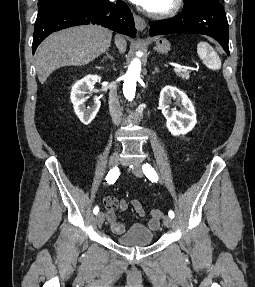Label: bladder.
I'll return each mask as SVG.
<instances>
[{"label":"bladder","mask_w":255,"mask_h":287,"mask_svg":"<svg viewBox=\"0 0 255 287\" xmlns=\"http://www.w3.org/2000/svg\"><path fill=\"white\" fill-rule=\"evenodd\" d=\"M154 238L153 231L142 223H134L123 233L115 236L116 241L124 246L149 245Z\"/></svg>","instance_id":"31cf9c89"}]
</instances>
